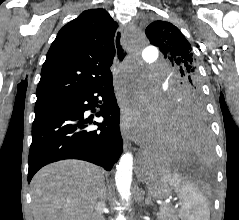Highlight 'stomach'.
<instances>
[{"label": "stomach", "mask_w": 239, "mask_h": 220, "mask_svg": "<svg viewBox=\"0 0 239 220\" xmlns=\"http://www.w3.org/2000/svg\"><path fill=\"white\" fill-rule=\"evenodd\" d=\"M148 190L155 198H166L172 193L171 185L158 179H153V183H149Z\"/></svg>", "instance_id": "0dacf381"}]
</instances>
